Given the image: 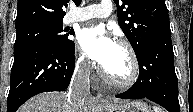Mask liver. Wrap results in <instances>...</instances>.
<instances>
[{"label": "liver", "instance_id": "1", "mask_svg": "<svg viewBox=\"0 0 193 112\" xmlns=\"http://www.w3.org/2000/svg\"><path fill=\"white\" fill-rule=\"evenodd\" d=\"M117 101H122L116 99ZM100 107L91 95L78 104H72L66 93L45 92L24 103L18 112H99Z\"/></svg>", "mask_w": 193, "mask_h": 112}]
</instances>
